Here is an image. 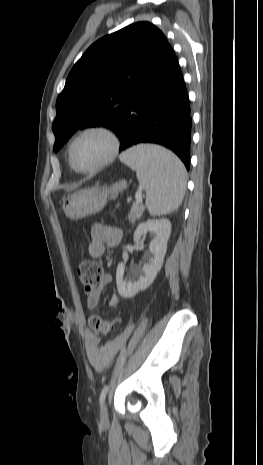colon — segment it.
Instances as JSON below:
<instances>
[{"mask_svg":"<svg viewBox=\"0 0 263 465\" xmlns=\"http://www.w3.org/2000/svg\"><path fill=\"white\" fill-rule=\"evenodd\" d=\"M78 278L87 293H93L98 288L102 277V267L90 258L82 259L77 268ZM120 322V319L104 320L97 315L88 318L89 328L98 333H108Z\"/></svg>","mask_w":263,"mask_h":465,"instance_id":"5ec220e1","label":"colon"}]
</instances>
